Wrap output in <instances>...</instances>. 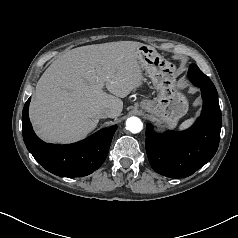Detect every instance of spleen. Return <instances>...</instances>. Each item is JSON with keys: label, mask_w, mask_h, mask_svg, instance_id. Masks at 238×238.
Listing matches in <instances>:
<instances>
[{"label": "spleen", "mask_w": 238, "mask_h": 238, "mask_svg": "<svg viewBox=\"0 0 238 238\" xmlns=\"http://www.w3.org/2000/svg\"><path fill=\"white\" fill-rule=\"evenodd\" d=\"M193 123H194L193 118L187 119L179 126V129L180 130L188 129Z\"/></svg>", "instance_id": "spleen-1"}]
</instances>
